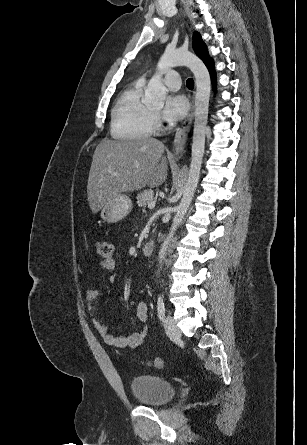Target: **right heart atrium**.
<instances>
[{"label": "right heart atrium", "instance_id": "d8ad5b80", "mask_svg": "<svg viewBox=\"0 0 307 445\" xmlns=\"http://www.w3.org/2000/svg\"><path fill=\"white\" fill-rule=\"evenodd\" d=\"M160 123H161V121H160L159 116L154 115L152 117V125L157 128L160 125Z\"/></svg>", "mask_w": 307, "mask_h": 445}]
</instances>
